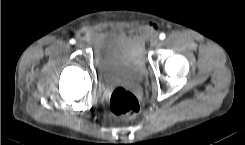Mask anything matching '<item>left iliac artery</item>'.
<instances>
[{
	"mask_svg": "<svg viewBox=\"0 0 245 145\" xmlns=\"http://www.w3.org/2000/svg\"><path fill=\"white\" fill-rule=\"evenodd\" d=\"M159 38H160L161 40H163V39L165 38V34H164V33H161V34L159 35Z\"/></svg>",
	"mask_w": 245,
	"mask_h": 145,
	"instance_id": "obj_1",
	"label": "left iliac artery"
}]
</instances>
